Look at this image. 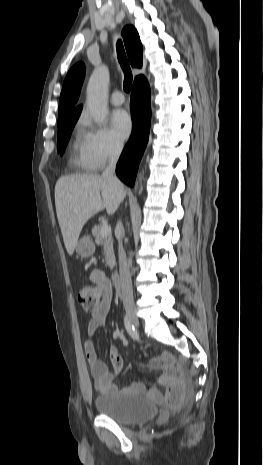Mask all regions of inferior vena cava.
<instances>
[{"label": "inferior vena cava", "mask_w": 263, "mask_h": 465, "mask_svg": "<svg viewBox=\"0 0 263 465\" xmlns=\"http://www.w3.org/2000/svg\"><path fill=\"white\" fill-rule=\"evenodd\" d=\"M123 147L122 142H115L112 146L110 152V163L107 168L104 170L102 176L109 179L115 186L122 187V183L115 175V168L119 156L121 154ZM115 233L118 239V259H119V273H120V283H121V290H122V299L125 309H133L134 308V298H133V290H132V281H131V274L129 270V263L127 261L126 253L123 248L122 239L125 235L124 227L121 221L117 222Z\"/></svg>", "instance_id": "1"}]
</instances>
